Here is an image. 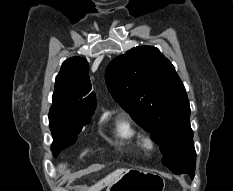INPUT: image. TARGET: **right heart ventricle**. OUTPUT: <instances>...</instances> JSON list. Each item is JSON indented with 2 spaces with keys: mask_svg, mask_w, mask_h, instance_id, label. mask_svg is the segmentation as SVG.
Returning <instances> with one entry per match:
<instances>
[{
  "mask_svg": "<svg viewBox=\"0 0 233 191\" xmlns=\"http://www.w3.org/2000/svg\"><path fill=\"white\" fill-rule=\"evenodd\" d=\"M114 136L122 143L134 144L143 147V138L138 127L128 118L120 117L113 128Z\"/></svg>",
  "mask_w": 233,
  "mask_h": 191,
  "instance_id": "right-heart-ventricle-1",
  "label": "right heart ventricle"
}]
</instances>
